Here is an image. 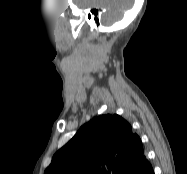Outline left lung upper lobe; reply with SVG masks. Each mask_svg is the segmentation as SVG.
Listing matches in <instances>:
<instances>
[{
	"label": "left lung upper lobe",
	"instance_id": "1",
	"mask_svg": "<svg viewBox=\"0 0 187 174\" xmlns=\"http://www.w3.org/2000/svg\"><path fill=\"white\" fill-rule=\"evenodd\" d=\"M140 138L116 114L84 124L52 158L44 174H131L147 166Z\"/></svg>",
	"mask_w": 187,
	"mask_h": 174
}]
</instances>
